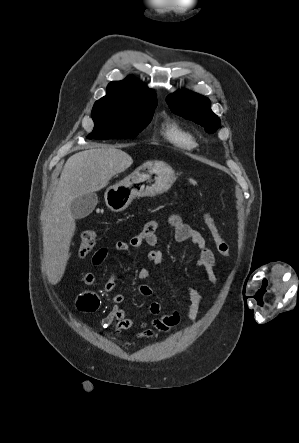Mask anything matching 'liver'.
<instances>
[{"label":"liver","mask_w":299,"mask_h":443,"mask_svg":"<svg viewBox=\"0 0 299 443\" xmlns=\"http://www.w3.org/2000/svg\"><path fill=\"white\" fill-rule=\"evenodd\" d=\"M133 163L129 154L113 146H92L66 161L51 204L45 214L44 263L48 282L56 285L63 277L76 223L71 202L99 191L110 179Z\"/></svg>","instance_id":"1"}]
</instances>
